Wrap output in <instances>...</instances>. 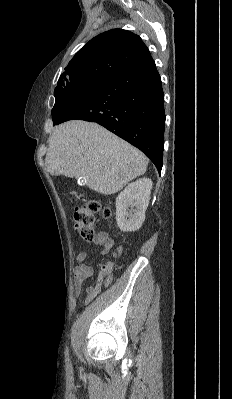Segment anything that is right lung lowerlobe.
<instances>
[{"label": "right lung lower lobe", "mask_w": 232, "mask_h": 399, "mask_svg": "<svg viewBox=\"0 0 232 399\" xmlns=\"http://www.w3.org/2000/svg\"><path fill=\"white\" fill-rule=\"evenodd\" d=\"M80 119L96 122L139 148L161 172L164 147V94L150 56L110 76L92 92L60 111L53 125Z\"/></svg>", "instance_id": "right-lung-lower-lobe-1"}]
</instances>
